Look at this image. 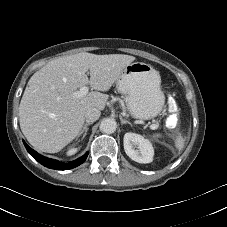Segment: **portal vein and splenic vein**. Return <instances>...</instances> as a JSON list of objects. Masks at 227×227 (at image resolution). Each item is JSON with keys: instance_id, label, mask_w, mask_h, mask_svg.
<instances>
[{"instance_id": "1", "label": "portal vein and splenic vein", "mask_w": 227, "mask_h": 227, "mask_svg": "<svg viewBox=\"0 0 227 227\" xmlns=\"http://www.w3.org/2000/svg\"><path fill=\"white\" fill-rule=\"evenodd\" d=\"M88 91H89V88L87 86H82L79 89V91H77V92L74 93V95L76 97H82V96L86 95L88 93ZM158 127H159L158 124H151L150 125V129H152V130H156Z\"/></svg>"}]
</instances>
